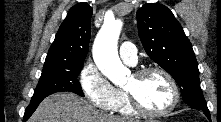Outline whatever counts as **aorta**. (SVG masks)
Instances as JSON below:
<instances>
[{"label": "aorta", "mask_w": 221, "mask_h": 122, "mask_svg": "<svg viewBox=\"0 0 221 122\" xmlns=\"http://www.w3.org/2000/svg\"><path fill=\"white\" fill-rule=\"evenodd\" d=\"M121 29V20L106 21L93 44L95 64L115 85H123L127 81L128 75V70L122 64L117 51Z\"/></svg>", "instance_id": "aorta-1"}]
</instances>
